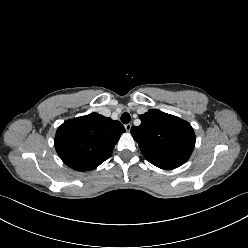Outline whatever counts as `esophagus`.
I'll return each instance as SVG.
<instances>
[{
	"mask_svg": "<svg viewBox=\"0 0 248 248\" xmlns=\"http://www.w3.org/2000/svg\"><path fill=\"white\" fill-rule=\"evenodd\" d=\"M124 127L127 132H130L132 125L128 123V124H125Z\"/></svg>",
	"mask_w": 248,
	"mask_h": 248,
	"instance_id": "esophagus-1",
	"label": "esophagus"
}]
</instances>
